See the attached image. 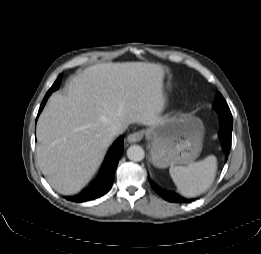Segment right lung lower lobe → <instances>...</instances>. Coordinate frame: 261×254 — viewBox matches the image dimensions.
Listing matches in <instances>:
<instances>
[{"instance_id":"right-lung-lower-lobe-1","label":"right lung lower lobe","mask_w":261,"mask_h":254,"mask_svg":"<svg viewBox=\"0 0 261 254\" xmlns=\"http://www.w3.org/2000/svg\"><path fill=\"white\" fill-rule=\"evenodd\" d=\"M60 81H61V76H59L57 78V80L54 82L53 86L50 88V90L45 95V97L41 103L38 115L42 111L50 94L59 88ZM123 146H124L123 137H120L112 145L104 171L98 175L97 182L95 184H93L91 187H89L82 195L76 196V197H67V199L74 200L77 202H84V201L99 198V197L103 196L104 194H106L112 186V183L114 180V175H115V170H116L117 164L119 162V159L123 153Z\"/></svg>"}]
</instances>
